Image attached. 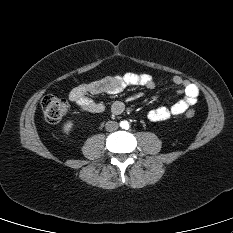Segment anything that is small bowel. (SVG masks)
I'll return each mask as SVG.
<instances>
[{"mask_svg":"<svg viewBox=\"0 0 233 233\" xmlns=\"http://www.w3.org/2000/svg\"><path fill=\"white\" fill-rule=\"evenodd\" d=\"M172 82L179 86L178 93L183 94V98L171 107L160 106L150 110L147 114L149 120L155 122L164 121L173 116L181 115L197 102L199 88L196 84L180 76H174ZM129 85H138L147 89H153L156 86V82L151 75L145 73L113 75L101 80L76 86L70 91L69 99L84 112L101 113L105 109L104 104L92 100L90 96L101 93L117 94ZM137 96L138 95H134L131 99ZM124 108L125 105L123 102L116 101L111 106V112L115 115H119L124 111Z\"/></svg>","mask_w":233,"mask_h":233,"instance_id":"c3829d8e","label":"small bowel"}]
</instances>
